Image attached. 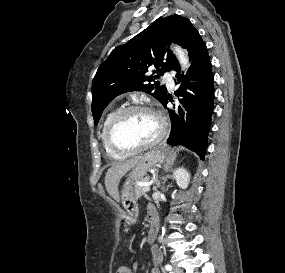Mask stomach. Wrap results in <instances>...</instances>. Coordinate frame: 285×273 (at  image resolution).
Listing matches in <instances>:
<instances>
[{"label":"stomach","instance_id":"obj_1","mask_svg":"<svg viewBox=\"0 0 285 273\" xmlns=\"http://www.w3.org/2000/svg\"><path fill=\"white\" fill-rule=\"evenodd\" d=\"M162 155L163 153L159 149H154L145 153L128 174V178L123 184L120 192L122 205L127 211V222H131L137 215V201L132 188L134 181L143 179L149 169L162 159Z\"/></svg>","mask_w":285,"mask_h":273}]
</instances>
